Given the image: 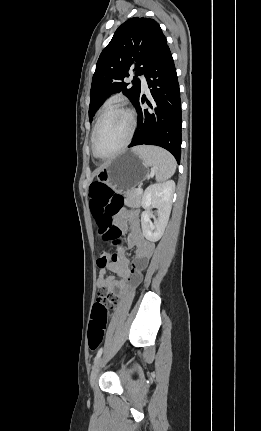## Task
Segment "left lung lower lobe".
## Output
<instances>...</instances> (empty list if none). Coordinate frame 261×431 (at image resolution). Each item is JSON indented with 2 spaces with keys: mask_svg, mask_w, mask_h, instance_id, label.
<instances>
[{
  "mask_svg": "<svg viewBox=\"0 0 261 431\" xmlns=\"http://www.w3.org/2000/svg\"><path fill=\"white\" fill-rule=\"evenodd\" d=\"M151 88L149 108L144 109L145 95L134 104L138 113V126L129 145H156L173 154L177 162L181 156V102L174 61L166 45L152 61L145 73Z\"/></svg>",
  "mask_w": 261,
  "mask_h": 431,
  "instance_id": "0a47b994",
  "label": "left lung lower lobe"
}]
</instances>
